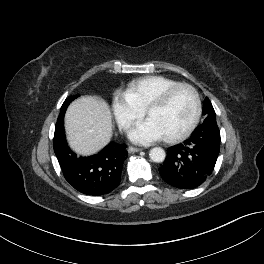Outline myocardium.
<instances>
[{
	"label": "myocardium",
	"mask_w": 264,
	"mask_h": 264,
	"mask_svg": "<svg viewBox=\"0 0 264 264\" xmlns=\"http://www.w3.org/2000/svg\"><path fill=\"white\" fill-rule=\"evenodd\" d=\"M180 89H188L192 93L194 102H195V113H194L191 123L184 131L174 136L164 137V140L168 143H177V142H180L186 139L197 127L200 121L201 115H202V103H201L200 95L197 89L194 86L187 84V83L175 84L165 89L145 109V114L146 116H148L152 110L161 108L164 105H166L168 101L171 99V97Z\"/></svg>",
	"instance_id": "obj_1"
}]
</instances>
